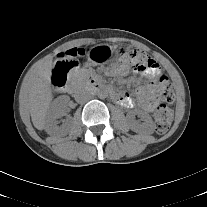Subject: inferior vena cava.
<instances>
[{"label":"inferior vena cava","instance_id":"1","mask_svg":"<svg viewBox=\"0 0 207 207\" xmlns=\"http://www.w3.org/2000/svg\"><path fill=\"white\" fill-rule=\"evenodd\" d=\"M90 99H91V95L85 94V93H81L78 96L77 101L80 102V103H85V102H87Z\"/></svg>","mask_w":207,"mask_h":207}]
</instances>
